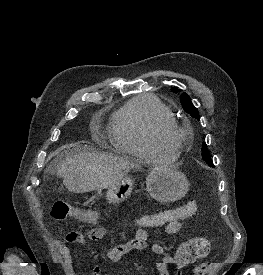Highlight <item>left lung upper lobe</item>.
Returning <instances> with one entry per match:
<instances>
[{
  "mask_svg": "<svg viewBox=\"0 0 263 275\" xmlns=\"http://www.w3.org/2000/svg\"><path fill=\"white\" fill-rule=\"evenodd\" d=\"M172 91L175 93L181 92V89H178L177 87H173ZM181 104L183 106V109L190 114L192 117L199 119V113L198 110L194 107V105L191 102L190 97L186 94L183 93L180 97ZM202 158L203 160L211 167H213V161L211 160V157L209 155V150L207 148V145L205 142L202 143Z\"/></svg>",
  "mask_w": 263,
  "mask_h": 275,
  "instance_id": "left-lung-upper-lobe-1",
  "label": "left lung upper lobe"
}]
</instances>
